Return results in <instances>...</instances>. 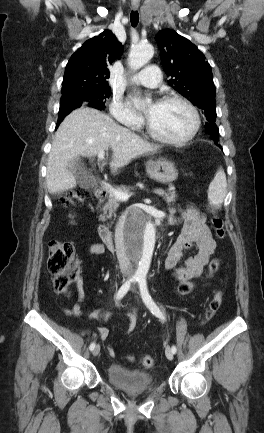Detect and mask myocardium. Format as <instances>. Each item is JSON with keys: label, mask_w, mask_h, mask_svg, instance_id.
Returning a JSON list of instances; mask_svg holds the SVG:
<instances>
[{"label": "myocardium", "mask_w": 264, "mask_h": 433, "mask_svg": "<svg viewBox=\"0 0 264 433\" xmlns=\"http://www.w3.org/2000/svg\"><path fill=\"white\" fill-rule=\"evenodd\" d=\"M160 104H166V103H179L185 106L192 114L193 117V125L189 133L180 138V139H172L165 137L161 134H159L150 124L149 120L146 122V129L148 134L155 140L165 143L172 146H184L187 143H189L198 133L201 125V118L200 114L197 110V108L187 99L177 96V95H171V96H165L159 100Z\"/></svg>", "instance_id": "f54148a6"}]
</instances>
